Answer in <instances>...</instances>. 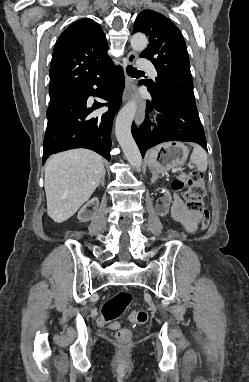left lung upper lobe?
<instances>
[{"label":"left lung upper lobe","mask_w":249,"mask_h":382,"mask_svg":"<svg viewBox=\"0 0 249 382\" xmlns=\"http://www.w3.org/2000/svg\"><path fill=\"white\" fill-rule=\"evenodd\" d=\"M136 32L149 37L140 57L149 59L158 73L146 86L160 96L196 104L186 44L176 25L158 12L144 10L134 22L133 34Z\"/></svg>","instance_id":"obj_1"}]
</instances>
